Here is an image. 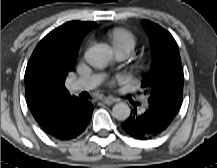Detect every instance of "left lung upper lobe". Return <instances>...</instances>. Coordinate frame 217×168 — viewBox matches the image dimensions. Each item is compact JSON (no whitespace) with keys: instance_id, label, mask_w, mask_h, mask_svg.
<instances>
[{"instance_id":"5c2ea615","label":"left lung upper lobe","mask_w":217,"mask_h":168,"mask_svg":"<svg viewBox=\"0 0 217 168\" xmlns=\"http://www.w3.org/2000/svg\"><path fill=\"white\" fill-rule=\"evenodd\" d=\"M142 25L147 32L152 64L149 72L142 80L150 97L149 102L166 106L177 111L183 90V71L179 48L172 35L157 24L143 20Z\"/></svg>"}]
</instances>
